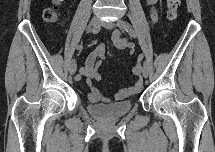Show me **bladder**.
Returning a JSON list of instances; mask_svg holds the SVG:
<instances>
[{"mask_svg": "<svg viewBox=\"0 0 215 152\" xmlns=\"http://www.w3.org/2000/svg\"><path fill=\"white\" fill-rule=\"evenodd\" d=\"M132 106L133 102L128 100L106 105L90 104L88 105L87 109L91 115L100 120H110L126 115L131 111Z\"/></svg>", "mask_w": 215, "mask_h": 152, "instance_id": "1", "label": "bladder"}]
</instances>
